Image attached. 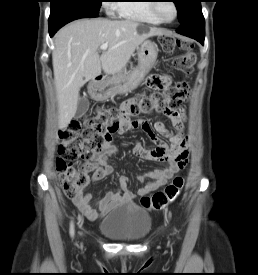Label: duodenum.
Returning <instances> with one entry per match:
<instances>
[{
	"mask_svg": "<svg viewBox=\"0 0 258 275\" xmlns=\"http://www.w3.org/2000/svg\"><path fill=\"white\" fill-rule=\"evenodd\" d=\"M96 82L100 85L103 83V81L105 80L104 76L102 74H98L95 78ZM100 91V87L99 86H95L92 88V92L96 93Z\"/></svg>",
	"mask_w": 258,
	"mask_h": 275,
	"instance_id": "1",
	"label": "duodenum"
}]
</instances>
